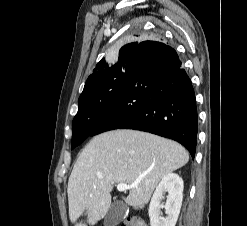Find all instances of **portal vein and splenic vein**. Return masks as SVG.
I'll return each instance as SVG.
<instances>
[{
    "label": "portal vein and splenic vein",
    "mask_w": 247,
    "mask_h": 226,
    "mask_svg": "<svg viewBox=\"0 0 247 226\" xmlns=\"http://www.w3.org/2000/svg\"><path fill=\"white\" fill-rule=\"evenodd\" d=\"M136 186V184L134 185H127V184H124V183H120L117 185V190L120 191V192H123V191H126L132 187Z\"/></svg>",
    "instance_id": "18ae733b"
}]
</instances>
